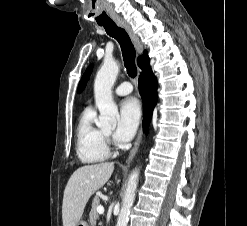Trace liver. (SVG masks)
<instances>
[{
	"label": "liver",
	"mask_w": 247,
	"mask_h": 226,
	"mask_svg": "<svg viewBox=\"0 0 247 226\" xmlns=\"http://www.w3.org/2000/svg\"><path fill=\"white\" fill-rule=\"evenodd\" d=\"M113 170L114 164L105 162L82 166L71 175L63 196V226H75L80 221L88 200L108 181Z\"/></svg>",
	"instance_id": "obj_1"
}]
</instances>
